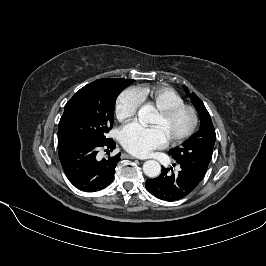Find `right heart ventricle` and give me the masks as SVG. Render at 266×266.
<instances>
[{
  "mask_svg": "<svg viewBox=\"0 0 266 266\" xmlns=\"http://www.w3.org/2000/svg\"><path fill=\"white\" fill-rule=\"evenodd\" d=\"M139 92L144 100L158 110L185 103L184 98L170 87L140 88Z\"/></svg>",
  "mask_w": 266,
  "mask_h": 266,
  "instance_id": "e07e8e85",
  "label": "right heart ventricle"
}]
</instances>
